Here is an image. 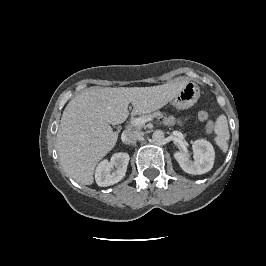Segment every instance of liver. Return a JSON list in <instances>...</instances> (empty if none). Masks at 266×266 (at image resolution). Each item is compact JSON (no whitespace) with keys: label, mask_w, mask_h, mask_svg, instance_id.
I'll return each instance as SVG.
<instances>
[{"label":"liver","mask_w":266,"mask_h":266,"mask_svg":"<svg viewBox=\"0 0 266 266\" xmlns=\"http://www.w3.org/2000/svg\"><path fill=\"white\" fill-rule=\"evenodd\" d=\"M185 81L152 87H90L66 106L56 136L60 164L78 183L91 185L98 162L115 146L118 133L112 125L123 123L128 115L150 113L166 105Z\"/></svg>","instance_id":"6515ba94"}]
</instances>
